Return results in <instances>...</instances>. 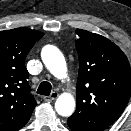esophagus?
Returning a JSON list of instances; mask_svg holds the SVG:
<instances>
[{"mask_svg": "<svg viewBox=\"0 0 131 131\" xmlns=\"http://www.w3.org/2000/svg\"><path fill=\"white\" fill-rule=\"evenodd\" d=\"M58 93L57 92H52L50 96H44L43 99L44 101L46 102H51V101H54L57 97H58Z\"/></svg>", "mask_w": 131, "mask_h": 131, "instance_id": "esophagus-1", "label": "esophagus"}]
</instances>
